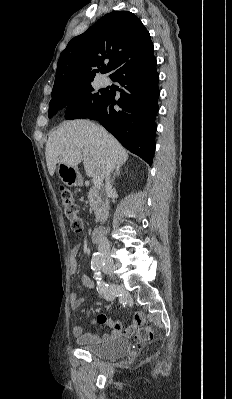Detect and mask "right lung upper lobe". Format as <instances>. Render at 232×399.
<instances>
[{
	"instance_id": "right-lung-upper-lobe-1",
	"label": "right lung upper lobe",
	"mask_w": 232,
	"mask_h": 399,
	"mask_svg": "<svg viewBox=\"0 0 232 399\" xmlns=\"http://www.w3.org/2000/svg\"><path fill=\"white\" fill-rule=\"evenodd\" d=\"M152 52L149 32L136 15L128 11L110 12L74 37L62 51L51 95L89 83L99 71L111 72V77L122 66ZM105 59L110 60L107 66Z\"/></svg>"
}]
</instances>
